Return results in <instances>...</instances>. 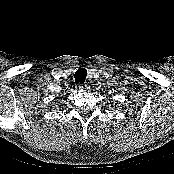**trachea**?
<instances>
[{
  "instance_id": "trachea-1",
  "label": "trachea",
  "mask_w": 174,
  "mask_h": 174,
  "mask_svg": "<svg viewBox=\"0 0 174 174\" xmlns=\"http://www.w3.org/2000/svg\"><path fill=\"white\" fill-rule=\"evenodd\" d=\"M87 77V70L85 68H79L76 70L74 78L76 84H82L85 82V79Z\"/></svg>"
}]
</instances>
